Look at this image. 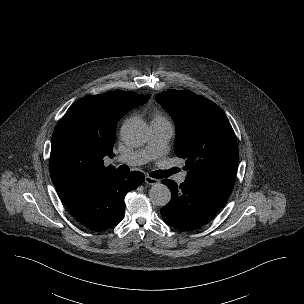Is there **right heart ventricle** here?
Returning a JSON list of instances; mask_svg holds the SVG:
<instances>
[{
	"label": "right heart ventricle",
	"mask_w": 304,
	"mask_h": 304,
	"mask_svg": "<svg viewBox=\"0 0 304 304\" xmlns=\"http://www.w3.org/2000/svg\"><path fill=\"white\" fill-rule=\"evenodd\" d=\"M153 121H161V122H168L167 119L160 113H157L155 116H154V119Z\"/></svg>",
	"instance_id": "1"
}]
</instances>
